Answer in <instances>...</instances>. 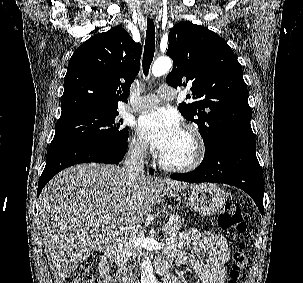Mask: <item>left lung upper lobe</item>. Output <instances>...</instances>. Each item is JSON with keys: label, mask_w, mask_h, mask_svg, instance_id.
I'll return each instance as SVG.
<instances>
[{"label": "left lung upper lobe", "mask_w": 303, "mask_h": 283, "mask_svg": "<svg viewBox=\"0 0 303 283\" xmlns=\"http://www.w3.org/2000/svg\"><path fill=\"white\" fill-rule=\"evenodd\" d=\"M167 55L174 62L168 85L189 86L194 101L179 111L194 122L205 152L232 135H253L251 108L243 71L227 42L215 32L190 22L176 24L169 33Z\"/></svg>", "instance_id": "obj_1"}]
</instances>
